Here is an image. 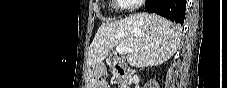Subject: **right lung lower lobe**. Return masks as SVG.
<instances>
[{"instance_id":"right-lung-lower-lobe-1","label":"right lung lower lobe","mask_w":227,"mask_h":88,"mask_svg":"<svg viewBox=\"0 0 227 88\" xmlns=\"http://www.w3.org/2000/svg\"><path fill=\"white\" fill-rule=\"evenodd\" d=\"M145 7L149 13L159 14L176 23L184 22L186 0H147Z\"/></svg>"}]
</instances>
